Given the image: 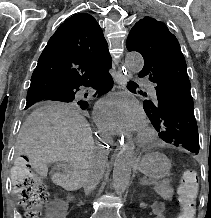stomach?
<instances>
[{
    "mask_svg": "<svg viewBox=\"0 0 211 218\" xmlns=\"http://www.w3.org/2000/svg\"><path fill=\"white\" fill-rule=\"evenodd\" d=\"M170 168V160L164 154L158 152L146 154L138 164L141 173L155 180L164 178Z\"/></svg>",
    "mask_w": 211,
    "mask_h": 218,
    "instance_id": "obj_1",
    "label": "stomach"
}]
</instances>
